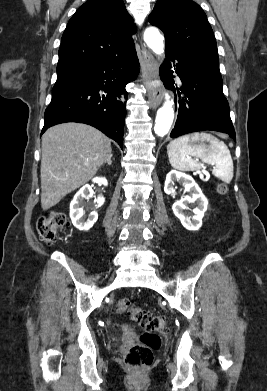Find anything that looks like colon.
Masks as SVG:
<instances>
[{
    "instance_id": "obj_1",
    "label": "colon",
    "mask_w": 267,
    "mask_h": 391,
    "mask_svg": "<svg viewBox=\"0 0 267 391\" xmlns=\"http://www.w3.org/2000/svg\"><path fill=\"white\" fill-rule=\"evenodd\" d=\"M220 193H225V184L218 186ZM68 224V217L60 211H53L47 216L37 220V231L40 238L47 242H54L61 229ZM115 312L118 315L128 314L131 319L142 329L137 341H126L122 346L124 365L132 371H144L153 362V355L161 345V336L169 331L164 317L146 312L142 308L133 305L128 299H121L116 303Z\"/></svg>"
}]
</instances>
